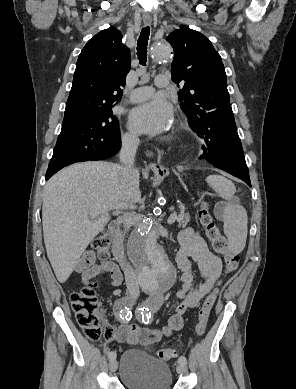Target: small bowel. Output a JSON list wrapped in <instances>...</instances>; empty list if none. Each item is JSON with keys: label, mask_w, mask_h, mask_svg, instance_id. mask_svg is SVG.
Listing matches in <instances>:
<instances>
[{"label": "small bowel", "mask_w": 296, "mask_h": 389, "mask_svg": "<svg viewBox=\"0 0 296 389\" xmlns=\"http://www.w3.org/2000/svg\"><path fill=\"white\" fill-rule=\"evenodd\" d=\"M224 206L217 207V214L222 216ZM180 250L176 256V263L181 272L182 285L177 290L174 299L178 302L175 313L169 318L168 323L161 329L140 327L136 324H121L114 335V341L118 343L148 345L160 341L164 336L179 331L184 324L183 315L188 309L195 308L201 300L210 292L215 282L221 275V259L210 251L205 240L194 228L188 227L179 234ZM191 261L197 263L199 275L203 283L198 287L193 286V273ZM74 272L81 276L83 283L87 284L100 272H107L111 278V286L115 292L123 282V274L118 265L112 261L102 264L96 263L95 254L87 250L76 263Z\"/></svg>", "instance_id": "small-bowel-1"}]
</instances>
